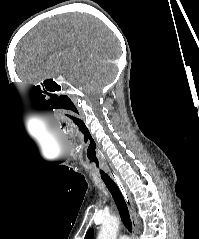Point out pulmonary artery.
<instances>
[{"label": "pulmonary artery", "instance_id": "obj_1", "mask_svg": "<svg viewBox=\"0 0 199 239\" xmlns=\"http://www.w3.org/2000/svg\"><path fill=\"white\" fill-rule=\"evenodd\" d=\"M119 239H129V238L126 235H122V236L119 237Z\"/></svg>", "mask_w": 199, "mask_h": 239}]
</instances>
